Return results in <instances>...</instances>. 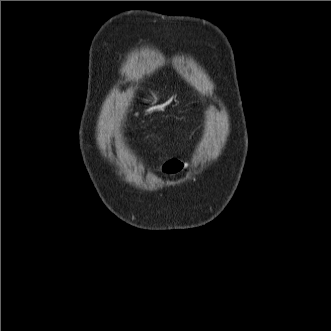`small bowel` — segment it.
<instances>
[{"instance_id":"obj_1","label":"small bowel","mask_w":331,"mask_h":331,"mask_svg":"<svg viewBox=\"0 0 331 331\" xmlns=\"http://www.w3.org/2000/svg\"><path fill=\"white\" fill-rule=\"evenodd\" d=\"M188 165L187 162L179 159H171L163 165V171L167 174L173 175L181 172Z\"/></svg>"}]
</instances>
